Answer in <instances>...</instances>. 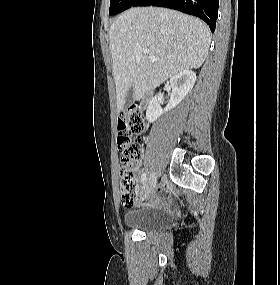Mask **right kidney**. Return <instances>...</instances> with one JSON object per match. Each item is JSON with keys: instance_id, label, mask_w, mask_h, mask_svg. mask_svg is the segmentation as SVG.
I'll return each instance as SVG.
<instances>
[{"instance_id": "1", "label": "right kidney", "mask_w": 280, "mask_h": 285, "mask_svg": "<svg viewBox=\"0 0 280 285\" xmlns=\"http://www.w3.org/2000/svg\"><path fill=\"white\" fill-rule=\"evenodd\" d=\"M196 82V74L191 70H183L173 75L170 79L172 93L167 106L162 109L160 100L155 96L149 103L146 118L152 123L156 121L163 113L175 108L191 91Z\"/></svg>"}]
</instances>
